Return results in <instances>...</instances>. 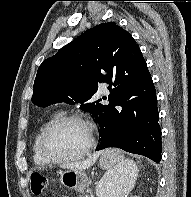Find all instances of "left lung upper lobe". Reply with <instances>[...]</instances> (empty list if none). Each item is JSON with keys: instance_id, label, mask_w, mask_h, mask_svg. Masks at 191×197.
I'll return each instance as SVG.
<instances>
[{"instance_id": "5c2ea615", "label": "left lung upper lobe", "mask_w": 191, "mask_h": 197, "mask_svg": "<svg viewBox=\"0 0 191 197\" xmlns=\"http://www.w3.org/2000/svg\"><path fill=\"white\" fill-rule=\"evenodd\" d=\"M146 66L130 33L113 22L101 23L43 61L34 82L32 102L41 107L81 103L80 108L95 119L104 106L91 101L98 82L105 80L111 88L115 76Z\"/></svg>"}]
</instances>
